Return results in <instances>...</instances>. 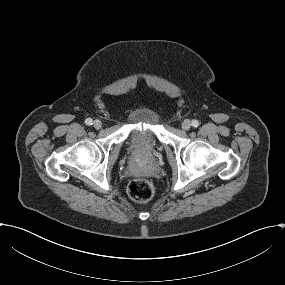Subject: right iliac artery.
<instances>
[{
  "label": "right iliac artery",
  "mask_w": 285,
  "mask_h": 285,
  "mask_svg": "<svg viewBox=\"0 0 285 285\" xmlns=\"http://www.w3.org/2000/svg\"><path fill=\"white\" fill-rule=\"evenodd\" d=\"M85 123H86V125H92V124H93L91 118H87V119L85 120Z\"/></svg>",
  "instance_id": "right-iliac-artery-1"
}]
</instances>
